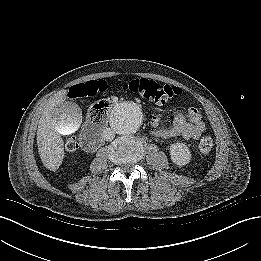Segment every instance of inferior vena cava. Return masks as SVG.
<instances>
[{"label":"inferior vena cava","mask_w":261,"mask_h":261,"mask_svg":"<svg viewBox=\"0 0 261 261\" xmlns=\"http://www.w3.org/2000/svg\"><path fill=\"white\" fill-rule=\"evenodd\" d=\"M103 138L106 141H112L115 138V132L111 128H106L103 130Z\"/></svg>","instance_id":"inferior-vena-cava-1"}]
</instances>
